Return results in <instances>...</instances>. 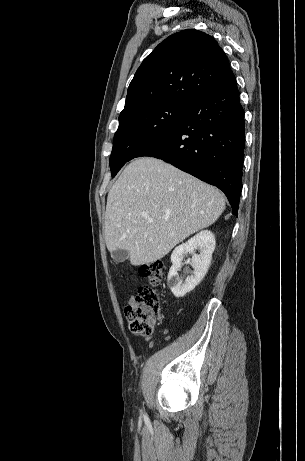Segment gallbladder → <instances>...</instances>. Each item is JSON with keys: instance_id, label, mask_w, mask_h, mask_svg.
<instances>
[{"instance_id": "1", "label": "gallbladder", "mask_w": 305, "mask_h": 461, "mask_svg": "<svg viewBox=\"0 0 305 461\" xmlns=\"http://www.w3.org/2000/svg\"><path fill=\"white\" fill-rule=\"evenodd\" d=\"M112 258L117 262H123L128 258V251L125 249H117L112 253Z\"/></svg>"}]
</instances>
